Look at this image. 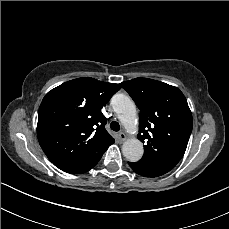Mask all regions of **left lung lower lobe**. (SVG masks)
<instances>
[{
  "label": "left lung lower lobe",
  "instance_id": "0a47b994",
  "mask_svg": "<svg viewBox=\"0 0 229 229\" xmlns=\"http://www.w3.org/2000/svg\"><path fill=\"white\" fill-rule=\"evenodd\" d=\"M129 165L133 169V171L136 172L137 174L145 177H153L151 173L140 168L138 165H136V163L129 162Z\"/></svg>",
  "mask_w": 229,
  "mask_h": 229
}]
</instances>
